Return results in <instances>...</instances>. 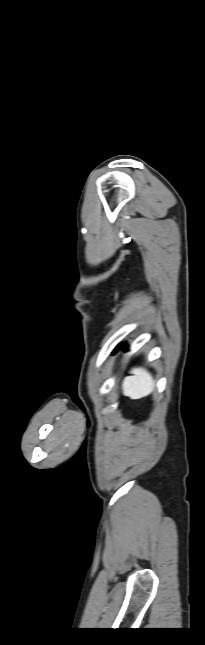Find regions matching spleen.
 Segmentation results:
<instances>
[{"label": "spleen", "instance_id": "1", "mask_svg": "<svg viewBox=\"0 0 205 645\" xmlns=\"http://www.w3.org/2000/svg\"><path fill=\"white\" fill-rule=\"evenodd\" d=\"M132 376H127L123 381V393L131 399H140L149 395L155 387L152 375L143 368H133Z\"/></svg>", "mask_w": 205, "mask_h": 645}]
</instances>
